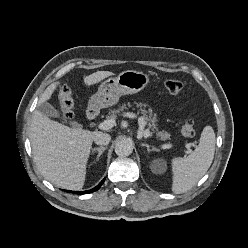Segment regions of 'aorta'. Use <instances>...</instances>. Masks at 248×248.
<instances>
[{
  "label": "aorta",
  "mask_w": 248,
  "mask_h": 248,
  "mask_svg": "<svg viewBox=\"0 0 248 248\" xmlns=\"http://www.w3.org/2000/svg\"><path fill=\"white\" fill-rule=\"evenodd\" d=\"M133 151V145L128 140H120L115 145V153L118 156H129Z\"/></svg>",
  "instance_id": "762f6f07"
}]
</instances>
